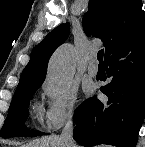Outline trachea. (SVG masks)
Listing matches in <instances>:
<instances>
[{
    "mask_svg": "<svg viewBox=\"0 0 145 147\" xmlns=\"http://www.w3.org/2000/svg\"><path fill=\"white\" fill-rule=\"evenodd\" d=\"M103 54H104V50H100L97 54V59L99 60V65H103Z\"/></svg>",
    "mask_w": 145,
    "mask_h": 147,
    "instance_id": "1",
    "label": "trachea"
}]
</instances>
